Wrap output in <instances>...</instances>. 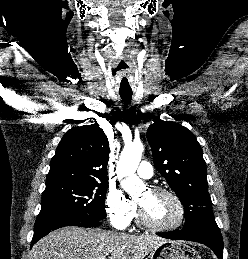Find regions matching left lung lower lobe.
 <instances>
[{
    "label": "left lung lower lobe",
    "mask_w": 248,
    "mask_h": 259,
    "mask_svg": "<svg viewBox=\"0 0 248 259\" xmlns=\"http://www.w3.org/2000/svg\"><path fill=\"white\" fill-rule=\"evenodd\" d=\"M158 235L172 240H187L202 243L211 248L218 259H223L222 235L216 222L169 233H158Z\"/></svg>",
    "instance_id": "obj_1"
}]
</instances>
